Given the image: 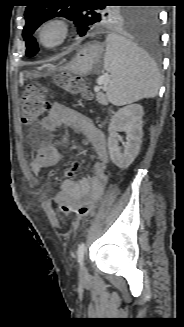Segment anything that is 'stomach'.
Wrapping results in <instances>:
<instances>
[{"label": "stomach", "mask_w": 184, "mask_h": 327, "mask_svg": "<svg viewBox=\"0 0 184 327\" xmlns=\"http://www.w3.org/2000/svg\"><path fill=\"white\" fill-rule=\"evenodd\" d=\"M103 52L104 49L101 44L84 46L62 69L80 76H86L96 72L101 64ZM25 77L30 79L36 78L38 77V73L26 71Z\"/></svg>", "instance_id": "obj_1"}]
</instances>
